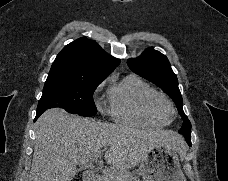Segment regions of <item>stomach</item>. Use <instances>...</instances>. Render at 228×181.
I'll list each match as a JSON object with an SVG mask.
<instances>
[{"label": "stomach", "instance_id": "obj_1", "mask_svg": "<svg viewBox=\"0 0 228 181\" xmlns=\"http://www.w3.org/2000/svg\"><path fill=\"white\" fill-rule=\"evenodd\" d=\"M138 173L143 181H186L179 155L171 145L149 149L138 165Z\"/></svg>", "mask_w": 228, "mask_h": 181}]
</instances>
